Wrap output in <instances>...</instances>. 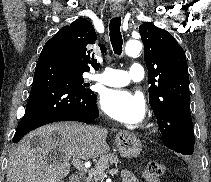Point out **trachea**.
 Instances as JSON below:
<instances>
[{
  "mask_svg": "<svg viewBox=\"0 0 211 182\" xmlns=\"http://www.w3.org/2000/svg\"><path fill=\"white\" fill-rule=\"evenodd\" d=\"M121 26V18L115 17L112 18L109 24V31H110V41L114 50V53L117 55L122 54V35L120 32Z\"/></svg>",
  "mask_w": 211,
  "mask_h": 182,
  "instance_id": "obj_1",
  "label": "trachea"
}]
</instances>
